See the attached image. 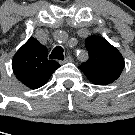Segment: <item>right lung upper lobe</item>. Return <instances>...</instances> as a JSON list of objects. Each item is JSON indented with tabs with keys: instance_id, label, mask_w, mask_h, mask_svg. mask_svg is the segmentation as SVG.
<instances>
[{
	"instance_id": "right-lung-upper-lobe-1",
	"label": "right lung upper lobe",
	"mask_w": 135,
	"mask_h": 135,
	"mask_svg": "<svg viewBox=\"0 0 135 135\" xmlns=\"http://www.w3.org/2000/svg\"><path fill=\"white\" fill-rule=\"evenodd\" d=\"M47 57V48L35 38H29L12 59V68L17 79L30 89L42 87L60 67L56 61Z\"/></svg>"
}]
</instances>
